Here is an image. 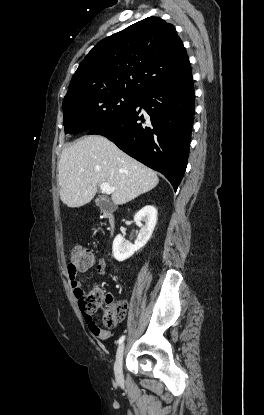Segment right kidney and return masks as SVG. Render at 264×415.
<instances>
[{
  "mask_svg": "<svg viewBox=\"0 0 264 415\" xmlns=\"http://www.w3.org/2000/svg\"><path fill=\"white\" fill-rule=\"evenodd\" d=\"M134 221L136 225L140 227V232L134 244L125 240L120 234H118L113 241V256L119 262L130 258L149 241L157 223V209L151 205L143 207L135 214Z\"/></svg>",
  "mask_w": 264,
  "mask_h": 415,
  "instance_id": "obj_1",
  "label": "right kidney"
}]
</instances>
